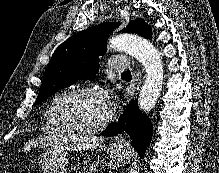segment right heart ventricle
Wrapping results in <instances>:
<instances>
[{
    "label": "right heart ventricle",
    "instance_id": "e07e8e85",
    "mask_svg": "<svg viewBox=\"0 0 219 173\" xmlns=\"http://www.w3.org/2000/svg\"><path fill=\"white\" fill-rule=\"evenodd\" d=\"M64 95L65 92L56 94L54 97L51 98L44 110V131L48 134L58 136L68 135V132L62 128L57 118V107L61 98Z\"/></svg>",
    "mask_w": 219,
    "mask_h": 173
}]
</instances>
